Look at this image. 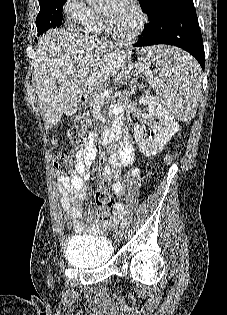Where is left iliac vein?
Listing matches in <instances>:
<instances>
[{"label":"left iliac vein","mask_w":227,"mask_h":315,"mask_svg":"<svg viewBox=\"0 0 227 315\" xmlns=\"http://www.w3.org/2000/svg\"><path fill=\"white\" fill-rule=\"evenodd\" d=\"M123 237H124V232L123 231L119 232L118 239L121 240Z\"/></svg>","instance_id":"obj_1"}]
</instances>
